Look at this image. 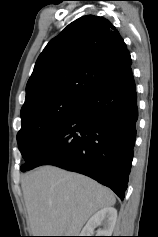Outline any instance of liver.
<instances>
[{
	"mask_svg": "<svg viewBox=\"0 0 158 237\" xmlns=\"http://www.w3.org/2000/svg\"><path fill=\"white\" fill-rule=\"evenodd\" d=\"M21 187L33 236H78L94 213L116 202L109 188L54 166L26 173Z\"/></svg>",
	"mask_w": 158,
	"mask_h": 237,
	"instance_id": "1",
	"label": "liver"
}]
</instances>
